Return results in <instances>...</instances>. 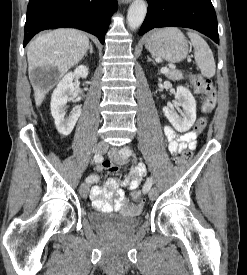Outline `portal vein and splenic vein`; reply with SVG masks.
<instances>
[{
  "label": "portal vein and splenic vein",
  "mask_w": 247,
  "mask_h": 275,
  "mask_svg": "<svg viewBox=\"0 0 247 275\" xmlns=\"http://www.w3.org/2000/svg\"><path fill=\"white\" fill-rule=\"evenodd\" d=\"M169 71V69L167 67H163L161 68V73L165 74Z\"/></svg>",
  "instance_id": "obj_1"
}]
</instances>
